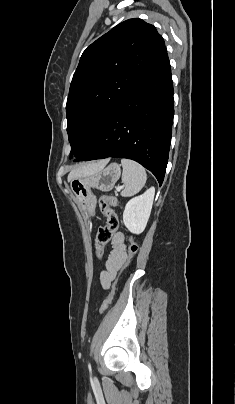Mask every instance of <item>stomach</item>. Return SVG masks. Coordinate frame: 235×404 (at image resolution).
I'll return each instance as SVG.
<instances>
[{
  "mask_svg": "<svg viewBox=\"0 0 235 404\" xmlns=\"http://www.w3.org/2000/svg\"><path fill=\"white\" fill-rule=\"evenodd\" d=\"M120 175V165L113 162L94 174L75 178L70 182L77 204L87 218L94 215L96 205V197L91 189L103 192L111 191Z\"/></svg>",
  "mask_w": 235,
  "mask_h": 404,
  "instance_id": "stomach-1",
  "label": "stomach"
}]
</instances>
